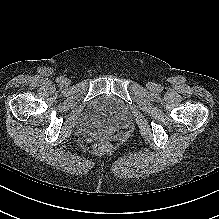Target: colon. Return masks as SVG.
Here are the masks:
<instances>
[{
    "instance_id": "colon-1",
    "label": "colon",
    "mask_w": 219,
    "mask_h": 219,
    "mask_svg": "<svg viewBox=\"0 0 219 219\" xmlns=\"http://www.w3.org/2000/svg\"><path fill=\"white\" fill-rule=\"evenodd\" d=\"M109 150V144L106 141H99L93 145L95 153H104Z\"/></svg>"
}]
</instances>
